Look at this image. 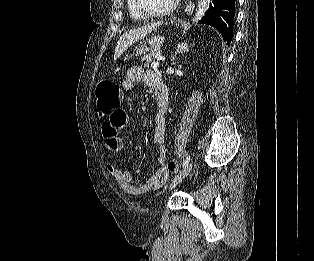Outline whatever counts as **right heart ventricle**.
Instances as JSON below:
<instances>
[{"instance_id": "e07e8e85", "label": "right heart ventricle", "mask_w": 314, "mask_h": 261, "mask_svg": "<svg viewBox=\"0 0 314 261\" xmlns=\"http://www.w3.org/2000/svg\"><path fill=\"white\" fill-rule=\"evenodd\" d=\"M126 6L130 17L137 21H144L148 17L140 13L135 5V0H126Z\"/></svg>"}]
</instances>
